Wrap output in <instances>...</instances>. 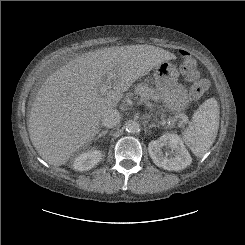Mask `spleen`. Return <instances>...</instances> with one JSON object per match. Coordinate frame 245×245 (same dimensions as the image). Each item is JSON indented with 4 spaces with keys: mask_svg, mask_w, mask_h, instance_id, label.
<instances>
[{
    "mask_svg": "<svg viewBox=\"0 0 245 245\" xmlns=\"http://www.w3.org/2000/svg\"><path fill=\"white\" fill-rule=\"evenodd\" d=\"M219 105L215 98L203 102L193 114L190 126L182 133L185 144L202 157L214 143L219 129Z\"/></svg>",
    "mask_w": 245,
    "mask_h": 245,
    "instance_id": "3e777b00",
    "label": "spleen"
}]
</instances>
